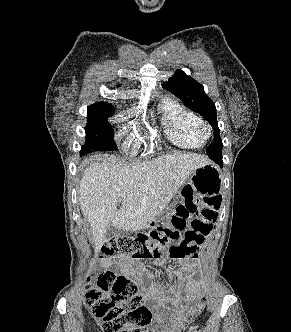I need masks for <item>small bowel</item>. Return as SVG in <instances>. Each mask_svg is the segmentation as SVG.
<instances>
[{
	"instance_id": "small-bowel-1",
	"label": "small bowel",
	"mask_w": 291,
	"mask_h": 332,
	"mask_svg": "<svg viewBox=\"0 0 291 332\" xmlns=\"http://www.w3.org/2000/svg\"><path fill=\"white\" fill-rule=\"evenodd\" d=\"M190 190L189 187L184 189V192ZM104 266L111 264L110 260H102ZM118 266L121 271L129 277L135 279L141 286L142 297L154 313V318L151 324L152 332L167 331V321L174 309L179 308L184 301L196 299L200 290L197 283L188 278L184 280L178 290H165L156 281V275L153 271L146 268L140 260L131 259L127 256L118 258ZM160 268L163 264L156 263ZM197 265L192 263L190 270L195 271Z\"/></svg>"
}]
</instances>
